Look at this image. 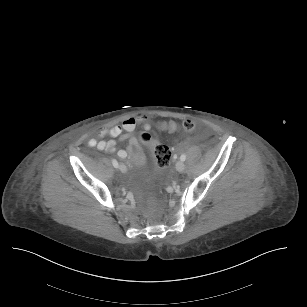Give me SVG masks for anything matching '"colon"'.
Returning a JSON list of instances; mask_svg holds the SVG:
<instances>
[{
    "label": "colon",
    "mask_w": 307,
    "mask_h": 307,
    "mask_svg": "<svg viewBox=\"0 0 307 307\" xmlns=\"http://www.w3.org/2000/svg\"><path fill=\"white\" fill-rule=\"evenodd\" d=\"M177 129L178 124L173 119H160L156 123V130L159 133L173 134L177 131ZM182 129L187 133L194 131L195 122L191 119L184 120L182 122ZM139 137L144 142L152 145L154 148L153 153L156 158L158 169L165 170L170 164L172 158V150L164 143L158 142L156 138L151 136V133L148 130L143 131Z\"/></svg>",
    "instance_id": "5ec220e1"
}]
</instances>
